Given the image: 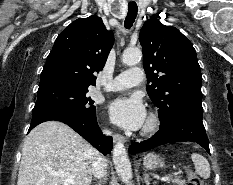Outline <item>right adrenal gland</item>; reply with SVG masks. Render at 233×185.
Returning <instances> with one entry per match:
<instances>
[{
  "label": "right adrenal gland",
  "instance_id": "obj_1",
  "mask_svg": "<svg viewBox=\"0 0 233 185\" xmlns=\"http://www.w3.org/2000/svg\"><path fill=\"white\" fill-rule=\"evenodd\" d=\"M96 185H102L101 183H99V184H96Z\"/></svg>",
  "mask_w": 233,
  "mask_h": 185
}]
</instances>
